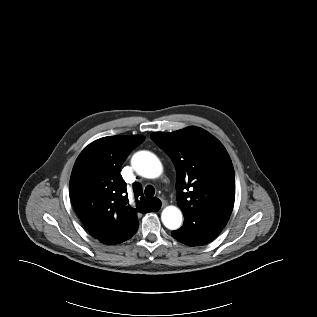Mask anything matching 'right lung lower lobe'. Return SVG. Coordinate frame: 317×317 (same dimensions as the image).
Here are the masks:
<instances>
[{"label":"right lung lower lobe","mask_w":317,"mask_h":317,"mask_svg":"<svg viewBox=\"0 0 317 317\" xmlns=\"http://www.w3.org/2000/svg\"><path fill=\"white\" fill-rule=\"evenodd\" d=\"M160 207H161V204H158L154 209H153V211L152 212H156V211H158L159 209H160Z\"/></svg>","instance_id":"1"}]
</instances>
